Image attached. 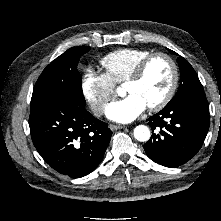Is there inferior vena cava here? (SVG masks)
<instances>
[{"label":"inferior vena cava","mask_w":221,"mask_h":221,"mask_svg":"<svg viewBox=\"0 0 221 221\" xmlns=\"http://www.w3.org/2000/svg\"><path fill=\"white\" fill-rule=\"evenodd\" d=\"M102 110H103L102 105H96L95 108H94V112L96 114H99L100 112H102Z\"/></svg>","instance_id":"obj_1"}]
</instances>
